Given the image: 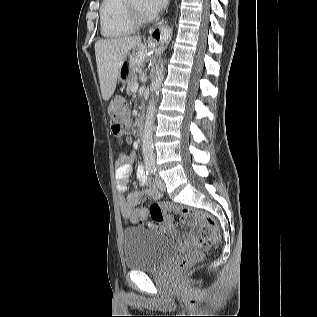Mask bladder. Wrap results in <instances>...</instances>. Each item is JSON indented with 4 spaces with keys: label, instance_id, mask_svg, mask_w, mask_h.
Wrapping results in <instances>:
<instances>
[{
    "label": "bladder",
    "instance_id": "31cf9c89",
    "mask_svg": "<svg viewBox=\"0 0 317 317\" xmlns=\"http://www.w3.org/2000/svg\"><path fill=\"white\" fill-rule=\"evenodd\" d=\"M123 238L124 262L128 270L160 269L177 253V244L173 239L140 227L126 229Z\"/></svg>",
    "mask_w": 317,
    "mask_h": 317
}]
</instances>
